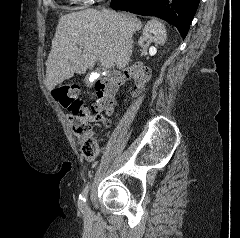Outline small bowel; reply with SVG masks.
I'll use <instances>...</instances> for the list:
<instances>
[{
	"instance_id": "c3829d8e",
	"label": "small bowel",
	"mask_w": 240,
	"mask_h": 238,
	"mask_svg": "<svg viewBox=\"0 0 240 238\" xmlns=\"http://www.w3.org/2000/svg\"><path fill=\"white\" fill-rule=\"evenodd\" d=\"M113 110H114V106L112 108L108 109L106 112H107V114H111L113 112ZM100 117L101 116L98 115V114H91L90 113V114H87L86 116L83 117V121L85 123L95 122V121L99 120Z\"/></svg>"
}]
</instances>
